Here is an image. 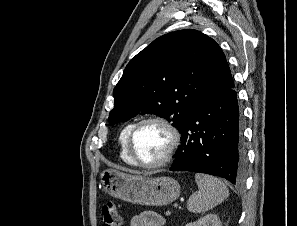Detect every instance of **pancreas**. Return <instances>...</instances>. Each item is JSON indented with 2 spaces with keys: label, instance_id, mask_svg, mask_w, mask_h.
I'll return each mask as SVG.
<instances>
[{
  "label": "pancreas",
  "instance_id": "pancreas-1",
  "mask_svg": "<svg viewBox=\"0 0 297 226\" xmlns=\"http://www.w3.org/2000/svg\"><path fill=\"white\" fill-rule=\"evenodd\" d=\"M169 214H170V212H169V211H167V212H166V215H169Z\"/></svg>",
  "mask_w": 297,
  "mask_h": 226
}]
</instances>
